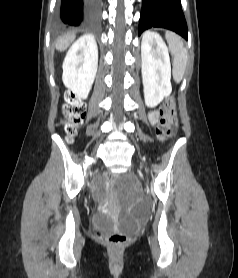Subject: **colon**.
<instances>
[{"instance_id": "obj_1", "label": "colon", "mask_w": 238, "mask_h": 278, "mask_svg": "<svg viewBox=\"0 0 238 278\" xmlns=\"http://www.w3.org/2000/svg\"><path fill=\"white\" fill-rule=\"evenodd\" d=\"M62 113L65 117L63 121L64 129L67 138L70 140L76 135L78 127L85 117L86 110L77 97L73 93L68 92L65 96V104L62 108ZM159 113L160 123L157 128V135L161 140H166L172 135V127L175 122V104L173 99H166L161 105ZM104 178L106 185H113L116 180V175L112 172H107ZM95 232L100 239L114 247L122 246L128 239L127 235L119 230H107L97 227Z\"/></svg>"}]
</instances>
